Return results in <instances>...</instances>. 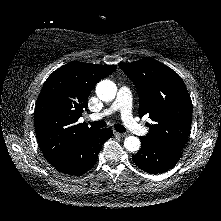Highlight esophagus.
<instances>
[{"label":"esophagus","instance_id":"1","mask_svg":"<svg viewBox=\"0 0 221 221\" xmlns=\"http://www.w3.org/2000/svg\"><path fill=\"white\" fill-rule=\"evenodd\" d=\"M113 134L117 137H122V138L127 136L126 133H120V132H117V131H114Z\"/></svg>","mask_w":221,"mask_h":221}]
</instances>
